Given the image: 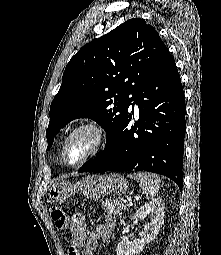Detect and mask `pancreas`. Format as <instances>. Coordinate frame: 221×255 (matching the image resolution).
<instances>
[{"label": "pancreas", "mask_w": 221, "mask_h": 255, "mask_svg": "<svg viewBox=\"0 0 221 255\" xmlns=\"http://www.w3.org/2000/svg\"><path fill=\"white\" fill-rule=\"evenodd\" d=\"M105 211L112 215H117L120 210L125 208L122 198L117 199H106L102 202Z\"/></svg>", "instance_id": "cf45deb5"}]
</instances>
